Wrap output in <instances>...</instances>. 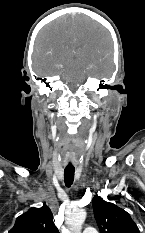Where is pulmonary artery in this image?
<instances>
[{
  "label": "pulmonary artery",
  "mask_w": 145,
  "mask_h": 233,
  "mask_svg": "<svg viewBox=\"0 0 145 233\" xmlns=\"http://www.w3.org/2000/svg\"><path fill=\"white\" fill-rule=\"evenodd\" d=\"M83 233H98V231L93 227H88L83 230Z\"/></svg>",
  "instance_id": "pulmonary-artery-1"
}]
</instances>
